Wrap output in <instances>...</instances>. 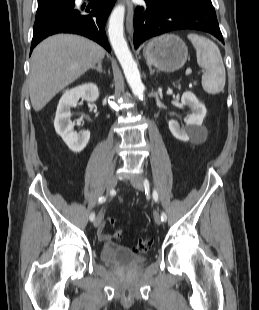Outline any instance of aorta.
<instances>
[{
	"label": "aorta",
	"mask_w": 259,
	"mask_h": 310,
	"mask_svg": "<svg viewBox=\"0 0 259 310\" xmlns=\"http://www.w3.org/2000/svg\"><path fill=\"white\" fill-rule=\"evenodd\" d=\"M124 15V5H118L112 11L109 18V39L133 94L139 98H143L145 87L141 81L137 64L134 61L124 38Z\"/></svg>",
	"instance_id": "obj_1"
}]
</instances>
